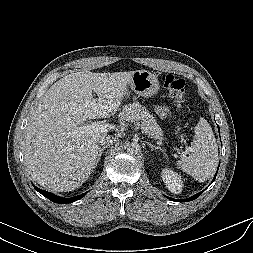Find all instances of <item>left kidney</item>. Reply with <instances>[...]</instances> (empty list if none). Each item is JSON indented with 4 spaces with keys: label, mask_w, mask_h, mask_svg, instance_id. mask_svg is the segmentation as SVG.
Listing matches in <instances>:
<instances>
[{
    "label": "left kidney",
    "mask_w": 253,
    "mask_h": 253,
    "mask_svg": "<svg viewBox=\"0 0 253 253\" xmlns=\"http://www.w3.org/2000/svg\"><path fill=\"white\" fill-rule=\"evenodd\" d=\"M161 177L170 192L179 194L182 191L183 181L176 172L165 168L162 170Z\"/></svg>",
    "instance_id": "left-kidney-1"
}]
</instances>
